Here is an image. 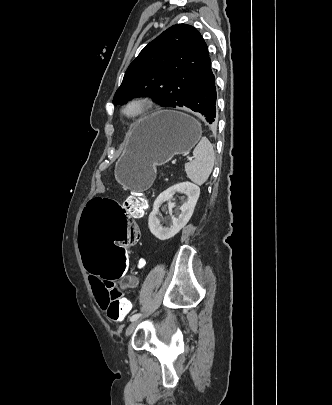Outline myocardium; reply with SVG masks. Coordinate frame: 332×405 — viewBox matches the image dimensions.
I'll return each instance as SVG.
<instances>
[{
	"label": "myocardium",
	"mask_w": 332,
	"mask_h": 405,
	"mask_svg": "<svg viewBox=\"0 0 332 405\" xmlns=\"http://www.w3.org/2000/svg\"><path fill=\"white\" fill-rule=\"evenodd\" d=\"M153 101L145 95L128 98L121 107V115L130 121H137L147 116L152 109Z\"/></svg>",
	"instance_id": "1"
}]
</instances>
